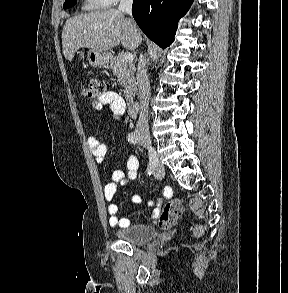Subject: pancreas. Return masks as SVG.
<instances>
[{"label": "pancreas", "instance_id": "obj_1", "mask_svg": "<svg viewBox=\"0 0 288 293\" xmlns=\"http://www.w3.org/2000/svg\"><path fill=\"white\" fill-rule=\"evenodd\" d=\"M112 71L114 76L118 78L120 85L124 88L125 99L132 101L137 91L134 77L135 64L123 61L122 55H118L112 59Z\"/></svg>", "mask_w": 288, "mask_h": 293}]
</instances>
